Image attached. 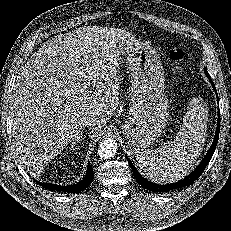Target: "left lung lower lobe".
Wrapping results in <instances>:
<instances>
[{
  "label": "left lung lower lobe",
  "instance_id": "obj_1",
  "mask_svg": "<svg viewBox=\"0 0 231 231\" xmlns=\"http://www.w3.org/2000/svg\"><path fill=\"white\" fill-rule=\"evenodd\" d=\"M205 74L208 77L210 83L212 84L213 88L215 89V85L213 83V81L211 80V77L209 75V73L207 72V70L205 69ZM216 92V89H215ZM217 98H218V94L216 92ZM219 131H220V112H219V108H218V123H217V130H216V134L213 140V143L209 149V151L207 152V154L205 155V157L203 158V160L201 161V163L196 167V169L194 171H192V173L190 175H188L186 178H184L181 181H178L176 183L173 184H167V185H158L155 183H152L150 181H148L147 179H145L144 177H142V175L137 171V169L135 168V166L132 164L131 160L127 157V160L133 170V174L137 180V182L145 189L149 190V191H154V192H166V191H170V190H175L181 187H185V186H189L192 183H194V181L196 179H198L201 174L203 173V171L205 170L206 166L208 165V163L210 162L217 142H218V138H219Z\"/></svg>",
  "mask_w": 231,
  "mask_h": 231
}]
</instances>
